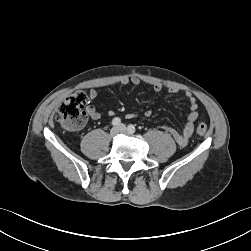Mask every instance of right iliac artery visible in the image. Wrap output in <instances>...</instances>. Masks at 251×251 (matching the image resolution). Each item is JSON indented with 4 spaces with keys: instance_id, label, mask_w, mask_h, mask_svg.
Returning a JSON list of instances; mask_svg holds the SVG:
<instances>
[{
    "instance_id": "1",
    "label": "right iliac artery",
    "mask_w": 251,
    "mask_h": 251,
    "mask_svg": "<svg viewBox=\"0 0 251 251\" xmlns=\"http://www.w3.org/2000/svg\"><path fill=\"white\" fill-rule=\"evenodd\" d=\"M120 123H121V119L118 118V117H115V118L112 120V125H113V126H118Z\"/></svg>"
}]
</instances>
